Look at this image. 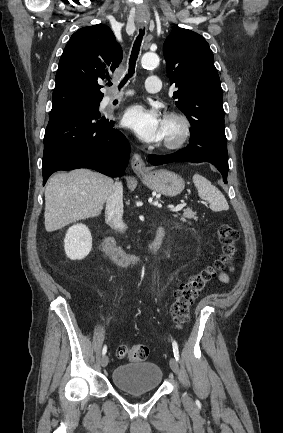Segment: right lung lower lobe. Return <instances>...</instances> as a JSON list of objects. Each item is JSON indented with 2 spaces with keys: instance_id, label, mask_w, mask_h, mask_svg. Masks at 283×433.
<instances>
[{
  "instance_id": "obj_1",
  "label": "right lung lower lobe",
  "mask_w": 283,
  "mask_h": 433,
  "mask_svg": "<svg viewBox=\"0 0 283 433\" xmlns=\"http://www.w3.org/2000/svg\"><path fill=\"white\" fill-rule=\"evenodd\" d=\"M98 109L50 115L44 136L43 185L59 170L90 168L111 177L123 176L130 145Z\"/></svg>"
}]
</instances>
